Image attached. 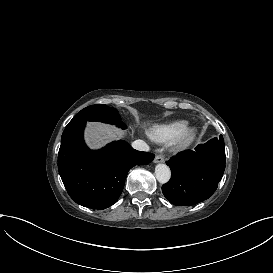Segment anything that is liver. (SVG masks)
Returning a JSON list of instances; mask_svg holds the SVG:
<instances>
[{
  "label": "liver",
  "mask_w": 273,
  "mask_h": 273,
  "mask_svg": "<svg viewBox=\"0 0 273 273\" xmlns=\"http://www.w3.org/2000/svg\"><path fill=\"white\" fill-rule=\"evenodd\" d=\"M124 135V131L113 126L89 122L85 130V141L92 149H98L112 139H120Z\"/></svg>",
  "instance_id": "obj_1"
}]
</instances>
